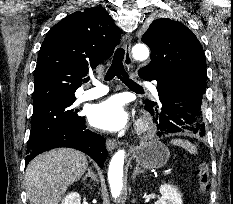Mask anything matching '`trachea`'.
I'll list each match as a JSON object with an SVG mask.
<instances>
[{"instance_id": "3493384b", "label": "trachea", "mask_w": 233, "mask_h": 204, "mask_svg": "<svg viewBox=\"0 0 233 204\" xmlns=\"http://www.w3.org/2000/svg\"><path fill=\"white\" fill-rule=\"evenodd\" d=\"M124 54H125V51L121 47L115 51L112 64L106 73L105 80L109 81V80H112L115 76H117L129 88L134 89V90H143L141 86H139L138 84H136L134 81H132L129 78V75L125 71L123 67ZM88 81L89 79L86 80V82Z\"/></svg>"}]
</instances>
